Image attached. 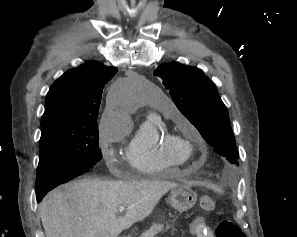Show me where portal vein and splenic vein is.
Wrapping results in <instances>:
<instances>
[{"label": "portal vein and splenic vein", "mask_w": 297, "mask_h": 237, "mask_svg": "<svg viewBox=\"0 0 297 237\" xmlns=\"http://www.w3.org/2000/svg\"><path fill=\"white\" fill-rule=\"evenodd\" d=\"M125 211V207L124 206H120L119 207V212H124Z\"/></svg>", "instance_id": "portal-vein-and-splenic-vein-1"}]
</instances>
